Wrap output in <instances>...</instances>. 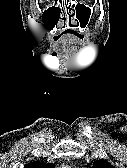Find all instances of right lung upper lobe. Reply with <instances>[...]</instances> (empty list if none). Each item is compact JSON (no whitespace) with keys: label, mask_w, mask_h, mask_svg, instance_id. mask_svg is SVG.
<instances>
[{"label":"right lung upper lobe","mask_w":127,"mask_h":168,"mask_svg":"<svg viewBox=\"0 0 127 168\" xmlns=\"http://www.w3.org/2000/svg\"><path fill=\"white\" fill-rule=\"evenodd\" d=\"M55 165L54 164H51V163H41V162H31V163H28L27 165H25L24 168H54Z\"/></svg>","instance_id":"obj_1"}]
</instances>
